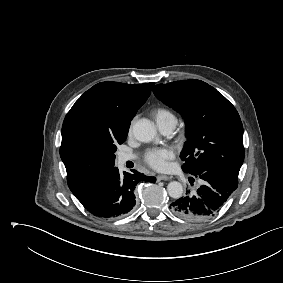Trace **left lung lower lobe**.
Instances as JSON below:
<instances>
[{
    "instance_id": "obj_1",
    "label": "left lung lower lobe",
    "mask_w": 283,
    "mask_h": 283,
    "mask_svg": "<svg viewBox=\"0 0 283 283\" xmlns=\"http://www.w3.org/2000/svg\"><path fill=\"white\" fill-rule=\"evenodd\" d=\"M199 186L174 201L170 209L179 218L187 221H204L214 216L237 188L238 178L218 172H203L193 175ZM189 181L193 184L194 178Z\"/></svg>"
}]
</instances>
